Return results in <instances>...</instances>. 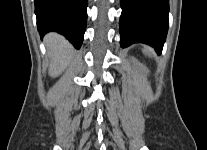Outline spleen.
<instances>
[{"label": "spleen", "mask_w": 207, "mask_h": 150, "mask_svg": "<svg viewBox=\"0 0 207 150\" xmlns=\"http://www.w3.org/2000/svg\"><path fill=\"white\" fill-rule=\"evenodd\" d=\"M143 52L147 54L148 56H152L153 54V50L147 46H144Z\"/></svg>", "instance_id": "1"}]
</instances>
